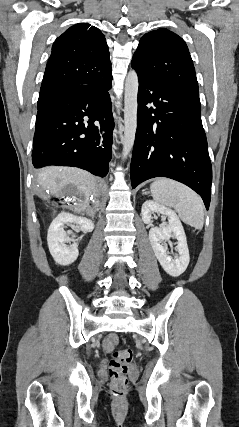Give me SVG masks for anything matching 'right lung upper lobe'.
I'll list each match as a JSON object with an SVG mask.
<instances>
[{
    "mask_svg": "<svg viewBox=\"0 0 239 427\" xmlns=\"http://www.w3.org/2000/svg\"><path fill=\"white\" fill-rule=\"evenodd\" d=\"M111 71L103 33L87 23L76 24L54 42L39 97L68 85L95 84L109 77Z\"/></svg>",
    "mask_w": 239,
    "mask_h": 427,
    "instance_id": "cb5924a9",
    "label": "right lung upper lobe"
}]
</instances>
